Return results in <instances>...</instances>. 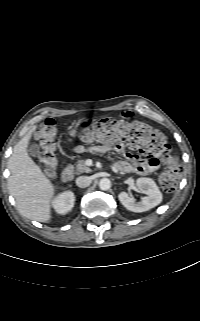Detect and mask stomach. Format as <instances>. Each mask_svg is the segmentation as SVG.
<instances>
[{
    "instance_id": "stomach-1",
    "label": "stomach",
    "mask_w": 200,
    "mask_h": 321,
    "mask_svg": "<svg viewBox=\"0 0 200 321\" xmlns=\"http://www.w3.org/2000/svg\"><path fill=\"white\" fill-rule=\"evenodd\" d=\"M75 126L78 128H86L90 127L91 123L87 119H81L75 124Z\"/></svg>"
}]
</instances>
